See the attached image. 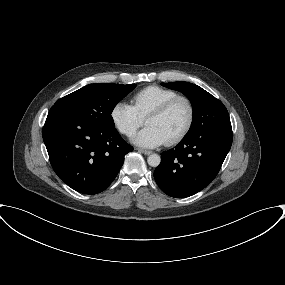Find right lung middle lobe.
I'll list each match as a JSON object with an SVG mask.
<instances>
[{
    "mask_svg": "<svg viewBox=\"0 0 285 285\" xmlns=\"http://www.w3.org/2000/svg\"><path fill=\"white\" fill-rule=\"evenodd\" d=\"M135 84H90L61 99L51 109L71 112L103 129H114L111 113Z\"/></svg>",
    "mask_w": 285,
    "mask_h": 285,
    "instance_id": "dd1d6c3e",
    "label": "right lung middle lobe"
}]
</instances>
